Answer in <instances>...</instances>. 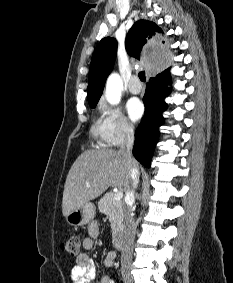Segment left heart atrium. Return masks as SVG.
<instances>
[{
	"label": "left heart atrium",
	"instance_id": "obj_1",
	"mask_svg": "<svg viewBox=\"0 0 233 283\" xmlns=\"http://www.w3.org/2000/svg\"><path fill=\"white\" fill-rule=\"evenodd\" d=\"M127 113L132 121H138L144 113V106L137 98L130 99L126 104Z\"/></svg>",
	"mask_w": 233,
	"mask_h": 283
}]
</instances>
